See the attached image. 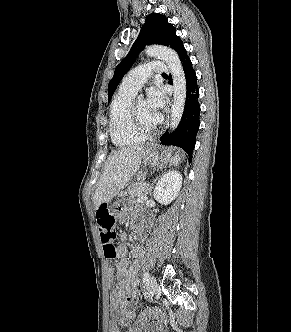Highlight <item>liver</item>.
I'll use <instances>...</instances> for the list:
<instances>
[{
    "mask_svg": "<svg viewBox=\"0 0 291 332\" xmlns=\"http://www.w3.org/2000/svg\"><path fill=\"white\" fill-rule=\"evenodd\" d=\"M145 149L143 145L130 146L109 156L93 196L96 209L109 203L137 173Z\"/></svg>",
    "mask_w": 291,
    "mask_h": 332,
    "instance_id": "1",
    "label": "liver"
}]
</instances>
